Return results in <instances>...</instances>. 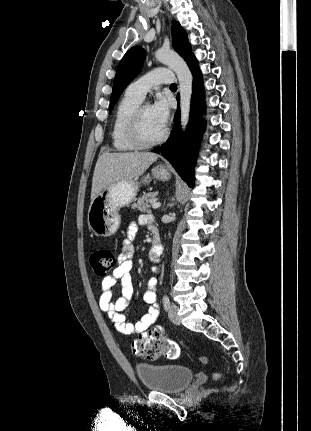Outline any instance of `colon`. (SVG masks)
<instances>
[{"label":"colon","mask_w":311,"mask_h":431,"mask_svg":"<svg viewBox=\"0 0 311 431\" xmlns=\"http://www.w3.org/2000/svg\"><path fill=\"white\" fill-rule=\"evenodd\" d=\"M90 265L98 277H107L115 265V255L106 248L94 249L90 254ZM130 348L133 354L151 359H156L160 356L176 359L180 355L178 344L171 340L140 339L134 341ZM199 363L206 364L207 358L200 357ZM219 376V373L214 375L215 378Z\"/></svg>","instance_id":"obj_1"}]
</instances>
